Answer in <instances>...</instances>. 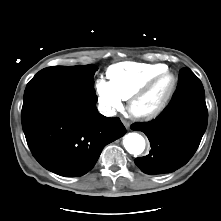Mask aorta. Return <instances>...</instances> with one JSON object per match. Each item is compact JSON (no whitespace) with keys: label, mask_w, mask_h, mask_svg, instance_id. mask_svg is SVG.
Listing matches in <instances>:
<instances>
[{"label":"aorta","mask_w":221,"mask_h":221,"mask_svg":"<svg viewBox=\"0 0 221 221\" xmlns=\"http://www.w3.org/2000/svg\"><path fill=\"white\" fill-rule=\"evenodd\" d=\"M123 145L130 154L139 155L145 149V139L138 133H129L125 135Z\"/></svg>","instance_id":"1"}]
</instances>
